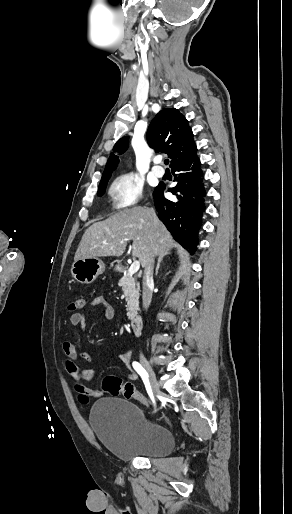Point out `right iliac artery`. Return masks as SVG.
<instances>
[{
	"instance_id": "obj_1",
	"label": "right iliac artery",
	"mask_w": 292,
	"mask_h": 514,
	"mask_svg": "<svg viewBox=\"0 0 292 514\" xmlns=\"http://www.w3.org/2000/svg\"><path fill=\"white\" fill-rule=\"evenodd\" d=\"M132 366L135 369V371L140 375L141 379L143 380V382L145 384V387H146V390H147V393H148L150 399L152 400V402L155 405V399H154V396H153V393H152V389H151V386H150V382H149V379H148V373L141 366V364L136 362V361H134L132 363Z\"/></svg>"
}]
</instances>
